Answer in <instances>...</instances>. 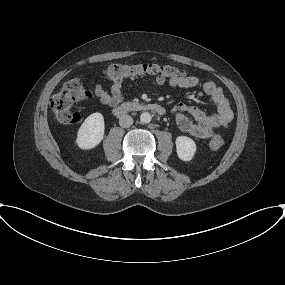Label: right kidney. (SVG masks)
Wrapping results in <instances>:
<instances>
[{"label": "right kidney", "instance_id": "1", "mask_svg": "<svg viewBox=\"0 0 285 285\" xmlns=\"http://www.w3.org/2000/svg\"><path fill=\"white\" fill-rule=\"evenodd\" d=\"M104 118L101 113L88 116L78 130L75 143L81 149L89 150L96 147L104 138Z\"/></svg>", "mask_w": 285, "mask_h": 285}]
</instances>
